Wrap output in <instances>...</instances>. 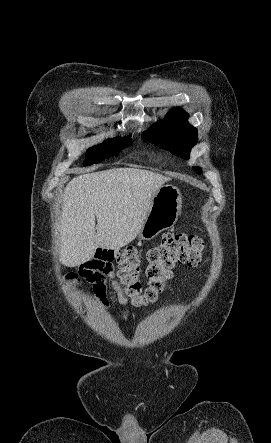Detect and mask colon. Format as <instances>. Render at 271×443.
<instances>
[{"label": "colon", "mask_w": 271, "mask_h": 443, "mask_svg": "<svg viewBox=\"0 0 271 443\" xmlns=\"http://www.w3.org/2000/svg\"><path fill=\"white\" fill-rule=\"evenodd\" d=\"M204 249L205 244L198 236L184 233L165 234L160 243L147 252L146 287L140 282L141 260L136 249H98L94 260L103 264L116 262L123 294L133 305L143 306L156 301L164 291L176 265H199Z\"/></svg>", "instance_id": "1"}]
</instances>
